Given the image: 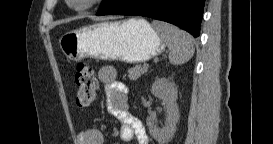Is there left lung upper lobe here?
Segmentation results:
<instances>
[{
	"instance_id": "left-lung-upper-lobe-1",
	"label": "left lung upper lobe",
	"mask_w": 273,
	"mask_h": 144,
	"mask_svg": "<svg viewBox=\"0 0 273 144\" xmlns=\"http://www.w3.org/2000/svg\"><path fill=\"white\" fill-rule=\"evenodd\" d=\"M112 1H113V0H104V1L102 2L101 6H100L99 11L104 10ZM99 11H98V12H99Z\"/></svg>"
}]
</instances>
